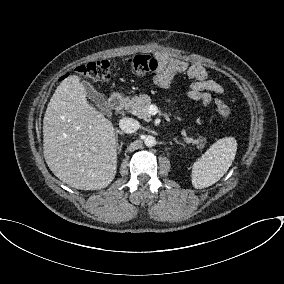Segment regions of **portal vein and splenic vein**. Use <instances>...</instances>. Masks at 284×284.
<instances>
[{"instance_id":"1","label":"portal vein and splenic vein","mask_w":284,"mask_h":284,"mask_svg":"<svg viewBox=\"0 0 284 284\" xmlns=\"http://www.w3.org/2000/svg\"><path fill=\"white\" fill-rule=\"evenodd\" d=\"M149 113L156 114V113H157V108H156V106L151 105V106L149 107Z\"/></svg>"}]
</instances>
